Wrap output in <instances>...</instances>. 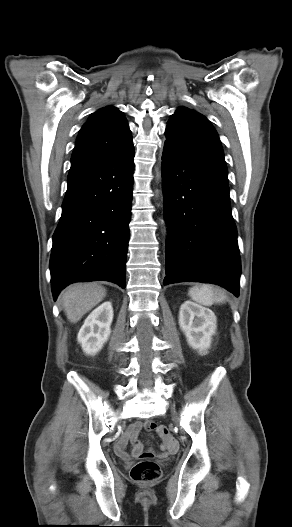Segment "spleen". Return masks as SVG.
Here are the masks:
<instances>
[{"label":"spleen","mask_w":292,"mask_h":527,"mask_svg":"<svg viewBox=\"0 0 292 527\" xmlns=\"http://www.w3.org/2000/svg\"><path fill=\"white\" fill-rule=\"evenodd\" d=\"M191 299L201 305L211 306L214 303H223L227 297L223 291L213 289L209 285H198L189 289Z\"/></svg>","instance_id":"1"}]
</instances>
